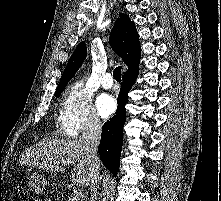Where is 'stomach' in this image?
<instances>
[{
  "label": "stomach",
  "mask_w": 221,
  "mask_h": 201,
  "mask_svg": "<svg viewBox=\"0 0 221 201\" xmlns=\"http://www.w3.org/2000/svg\"><path fill=\"white\" fill-rule=\"evenodd\" d=\"M28 186L30 191L41 193L47 186V180L42 175L33 173L29 177Z\"/></svg>",
  "instance_id": "stomach-1"
}]
</instances>
